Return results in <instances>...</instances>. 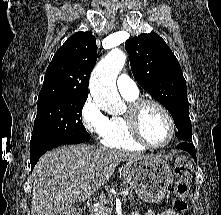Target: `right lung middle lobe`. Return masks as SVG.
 Instances as JSON below:
<instances>
[{"instance_id": "right-lung-middle-lobe-1", "label": "right lung middle lobe", "mask_w": 221, "mask_h": 215, "mask_svg": "<svg viewBox=\"0 0 221 215\" xmlns=\"http://www.w3.org/2000/svg\"><path fill=\"white\" fill-rule=\"evenodd\" d=\"M87 98L60 97L38 102L30 153L88 135L80 119Z\"/></svg>"}]
</instances>
